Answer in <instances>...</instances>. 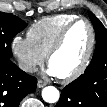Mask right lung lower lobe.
Returning a JSON list of instances; mask_svg holds the SVG:
<instances>
[{"mask_svg":"<svg viewBox=\"0 0 107 107\" xmlns=\"http://www.w3.org/2000/svg\"><path fill=\"white\" fill-rule=\"evenodd\" d=\"M36 86L34 76L22 71L10 59L0 58V107H18Z\"/></svg>","mask_w":107,"mask_h":107,"instance_id":"obj_1","label":"right lung lower lobe"}]
</instances>
